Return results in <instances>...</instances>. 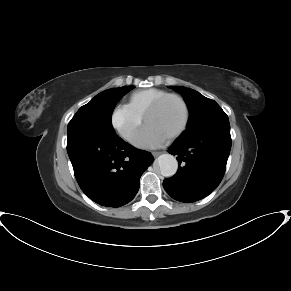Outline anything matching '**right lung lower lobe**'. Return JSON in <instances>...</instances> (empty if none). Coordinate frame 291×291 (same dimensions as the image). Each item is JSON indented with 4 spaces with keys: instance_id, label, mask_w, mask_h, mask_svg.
Returning <instances> with one entry per match:
<instances>
[{
    "instance_id": "1",
    "label": "right lung lower lobe",
    "mask_w": 291,
    "mask_h": 291,
    "mask_svg": "<svg viewBox=\"0 0 291 291\" xmlns=\"http://www.w3.org/2000/svg\"><path fill=\"white\" fill-rule=\"evenodd\" d=\"M67 152L82 191L94 202L120 207L139 190V180L154 161L114 134L75 131L67 134Z\"/></svg>"
}]
</instances>
